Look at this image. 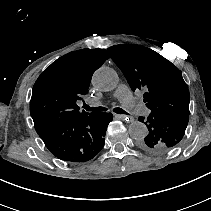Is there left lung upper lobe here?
<instances>
[{
    "instance_id": "5c2ea615",
    "label": "left lung upper lobe",
    "mask_w": 211,
    "mask_h": 211,
    "mask_svg": "<svg viewBox=\"0 0 211 211\" xmlns=\"http://www.w3.org/2000/svg\"><path fill=\"white\" fill-rule=\"evenodd\" d=\"M132 91L142 90L150 114L139 117L148 128L142 147L163 153L179 145L189 120L190 95L179 69L157 52L140 45L108 48Z\"/></svg>"
}]
</instances>
